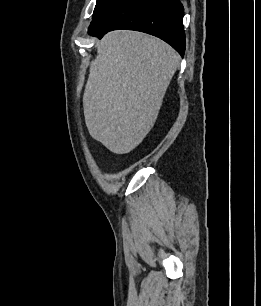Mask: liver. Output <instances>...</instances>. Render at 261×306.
Here are the masks:
<instances>
[{
  "instance_id": "6515ba94",
  "label": "liver",
  "mask_w": 261,
  "mask_h": 306,
  "mask_svg": "<svg viewBox=\"0 0 261 306\" xmlns=\"http://www.w3.org/2000/svg\"><path fill=\"white\" fill-rule=\"evenodd\" d=\"M96 47L83 95L85 123L93 139L127 154L154 126L180 56L136 31H112Z\"/></svg>"
}]
</instances>
